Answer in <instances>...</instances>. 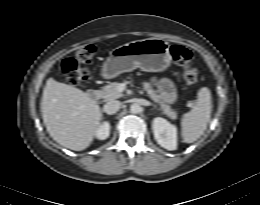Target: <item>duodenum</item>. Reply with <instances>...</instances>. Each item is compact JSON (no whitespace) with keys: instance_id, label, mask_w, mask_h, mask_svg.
<instances>
[{"instance_id":"obj_1","label":"duodenum","mask_w":260,"mask_h":205,"mask_svg":"<svg viewBox=\"0 0 260 205\" xmlns=\"http://www.w3.org/2000/svg\"><path fill=\"white\" fill-rule=\"evenodd\" d=\"M87 97L91 101H97L100 97V93L97 90H89L87 93Z\"/></svg>"}]
</instances>
